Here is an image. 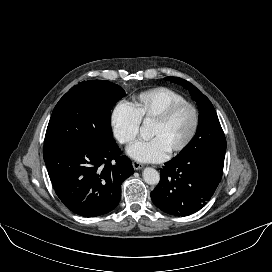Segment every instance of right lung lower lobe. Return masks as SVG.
Returning a JSON list of instances; mask_svg holds the SVG:
<instances>
[{
	"label": "right lung lower lobe",
	"instance_id": "98d812e1",
	"mask_svg": "<svg viewBox=\"0 0 272 272\" xmlns=\"http://www.w3.org/2000/svg\"><path fill=\"white\" fill-rule=\"evenodd\" d=\"M116 142L98 146L70 142L44 154L54 190L63 204L85 217L113 210L121 198V184L134 173L131 161L120 155Z\"/></svg>",
	"mask_w": 272,
	"mask_h": 272
}]
</instances>
